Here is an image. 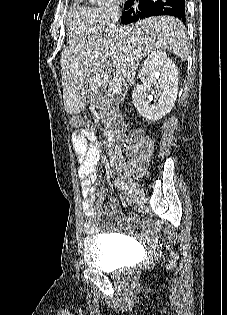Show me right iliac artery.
<instances>
[{
  "instance_id": "82829eb1",
  "label": "right iliac artery",
  "mask_w": 227,
  "mask_h": 315,
  "mask_svg": "<svg viewBox=\"0 0 227 315\" xmlns=\"http://www.w3.org/2000/svg\"><path fill=\"white\" fill-rule=\"evenodd\" d=\"M115 185L118 187V188H120V189H122L123 191H125V192H128V193H132V187L130 186V185H128V184H126L123 180H121V179H116L115 180Z\"/></svg>"
}]
</instances>
